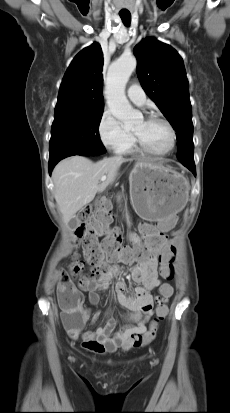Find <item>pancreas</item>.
<instances>
[{"instance_id":"pancreas-1","label":"pancreas","mask_w":230,"mask_h":413,"mask_svg":"<svg viewBox=\"0 0 230 413\" xmlns=\"http://www.w3.org/2000/svg\"><path fill=\"white\" fill-rule=\"evenodd\" d=\"M117 199H118V200H120V199H121V196H120V195H118V196H117Z\"/></svg>"}]
</instances>
